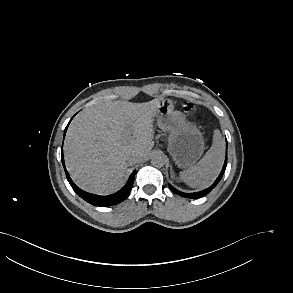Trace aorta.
I'll list each match as a JSON object with an SVG mask.
<instances>
[{"instance_id":"obj_1","label":"aorta","mask_w":293,"mask_h":293,"mask_svg":"<svg viewBox=\"0 0 293 293\" xmlns=\"http://www.w3.org/2000/svg\"><path fill=\"white\" fill-rule=\"evenodd\" d=\"M151 163L153 166L162 167L166 163V157L160 153L154 154L152 156Z\"/></svg>"}]
</instances>
